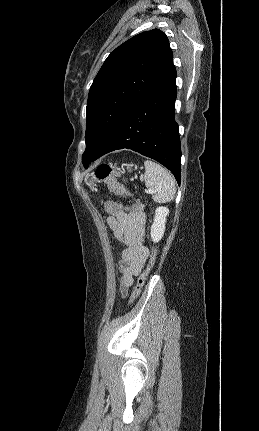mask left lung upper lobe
<instances>
[{"label": "left lung upper lobe", "instance_id": "5c2ea615", "mask_svg": "<svg viewBox=\"0 0 259 431\" xmlns=\"http://www.w3.org/2000/svg\"><path fill=\"white\" fill-rule=\"evenodd\" d=\"M172 66L168 38L158 29L142 32L110 53L88 95L86 149L82 155L85 168L123 116Z\"/></svg>", "mask_w": 259, "mask_h": 431}]
</instances>
